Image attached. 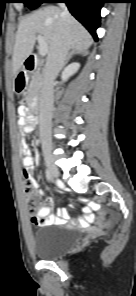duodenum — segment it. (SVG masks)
Here are the masks:
<instances>
[{"mask_svg":"<svg viewBox=\"0 0 136 296\" xmlns=\"http://www.w3.org/2000/svg\"><path fill=\"white\" fill-rule=\"evenodd\" d=\"M41 60L38 56H29L24 61L25 72H32L34 71L37 66L40 64ZM17 81L19 83H25V75L24 73H20L18 76Z\"/></svg>","mask_w":136,"mask_h":296,"instance_id":"duodenum-1","label":"duodenum"}]
</instances>
